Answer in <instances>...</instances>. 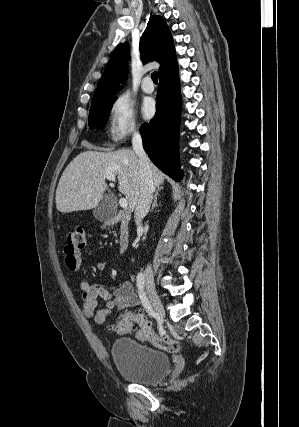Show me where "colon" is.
Wrapping results in <instances>:
<instances>
[{"mask_svg":"<svg viewBox=\"0 0 299 427\" xmlns=\"http://www.w3.org/2000/svg\"><path fill=\"white\" fill-rule=\"evenodd\" d=\"M67 245L65 251L74 253L82 248L85 244V233L83 228L76 227L69 231L66 236ZM136 325L140 326L142 333L146 336H151L155 346L167 352L175 353L179 350V342L167 336H158L152 334V329L149 321L139 313H127L120 317L112 329L118 334L132 333L136 330Z\"/></svg>","mask_w":299,"mask_h":427,"instance_id":"colon-1","label":"colon"}]
</instances>
